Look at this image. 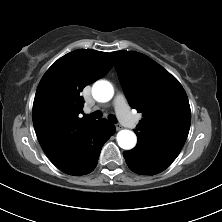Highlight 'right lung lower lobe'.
Masks as SVG:
<instances>
[{
    "instance_id": "obj_1",
    "label": "right lung lower lobe",
    "mask_w": 222,
    "mask_h": 222,
    "mask_svg": "<svg viewBox=\"0 0 222 222\" xmlns=\"http://www.w3.org/2000/svg\"><path fill=\"white\" fill-rule=\"evenodd\" d=\"M115 127L105 119L98 120L87 139V152L82 161L74 168L65 170L69 175H85L96 167L104 143L114 134Z\"/></svg>"
}]
</instances>
